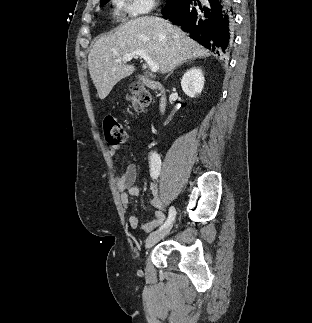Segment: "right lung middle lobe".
I'll return each instance as SVG.
<instances>
[{"mask_svg": "<svg viewBox=\"0 0 312 323\" xmlns=\"http://www.w3.org/2000/svg\"><path fill=\"white\" fill-rule=\"evenodd\" d=\"M109 0H106L108 2ZM179 0H167L166 2V8L172 7L175 3H177Z\"/></svg>", "mask_w": 312, "mask_h": 323, "instance_id": "obj_1", "label": "right lung middle lobe"}]
</instances>
